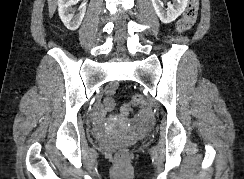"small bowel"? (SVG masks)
<instances>
[{"instance_id":"1","label":"small bowel","mask_w":244,"mask_h":179,"mask_svg":"<svg viewBox=\"0 0 244 179\" xmlns=\"http://www.w3.org/2000/svg\"><path fill=\"white\" fill-rule=\"evenodd\" d=\"M151 116L146 109L141 112L139 116L138 126H150Z\"/></svg>"}]
</instances>
